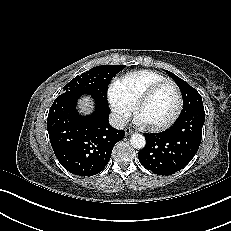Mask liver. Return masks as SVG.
<instances>
[{"label": "liver", "mask_w": 231, "mask_h": 231, "mask_svg": "<svg viewBox=\"0 0 231 231\" xmlns=\"http://www.w3.org/2000/svg\"><path fill=\"white\" fill-rule=\"evenodd\" d=\"M95 108V101L91 95H81L76 102V109L80 115L89 116Z\"/></svg>", "instance_id": "liver-1"}]
</instances>
